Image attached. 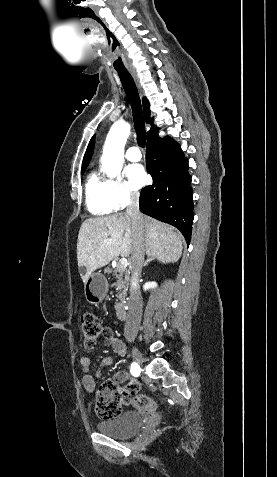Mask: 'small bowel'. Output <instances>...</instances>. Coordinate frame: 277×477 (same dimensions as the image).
<instances>
[{"instance_id":"1","label":"small bowel","mask_w":277,"mask_h":477,"mask_svg":"<svg viewBox=\"0 0 277 477\" xmlns=\"http://www.w3.org/2000/svg\"><path fill=\"white\" fill-rule=\"evenodd\" d=\"M102 334L105 339V346L110 347L117 356L123 357L126 353V346L124 342L116 337L110 328H104ZM113 361L114 359L112 357L103 358L100 362L99 368L96 371V377L100 378L102 376L103 368L111 365ZM80 364L82 366V385L87 392H93L96 382L95 378L90 374L92 361L89 357H82L80 359ZM112 380L119 385L125 381L132 380V374L126 371H120L114 374ZM129 386H133L135 391L138 389V386L135 383H131Z\"/></svg>"}]
</instances>
